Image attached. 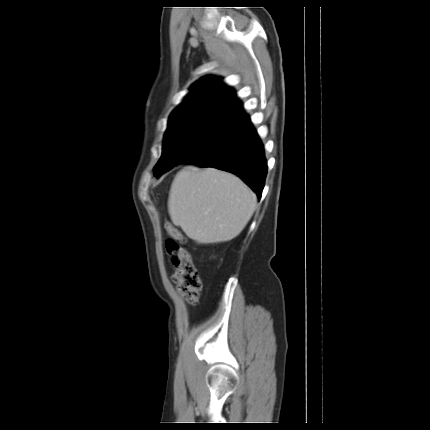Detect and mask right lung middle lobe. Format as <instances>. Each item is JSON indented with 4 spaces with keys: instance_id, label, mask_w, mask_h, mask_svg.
<instances>
[{
    "instance_id": "right-lung-middle-lobe-1",
    "label": "right lung middle lobe",
    "mask_w": 430,
    "mask_h": 430,
    "mask_svg": "<svg viewBox=\"0 0 430 430\" xmlns=\"http://www.w3.org/2000/svg\"><path fill=\"white\" fill-rule=\"evenodd\" d=\"M242 117L231 107L206 104L172 113L162 156L154 176L165 173L203 150L232 129Z\"/></svg>"
}]
</instances>
